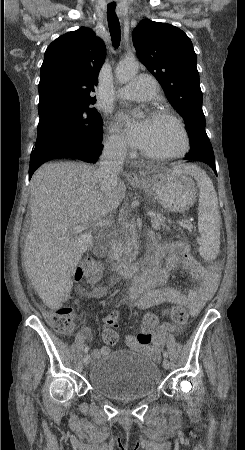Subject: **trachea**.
<instances>
[{"mask_svg":"<svg viewBox=\"0 0 245 450\" xmlns=\"http://www.w3.org/2000/svg\"><path fill=\"white\" fill-rule=\"evenodd\" d=\"M116 4L114 2L109 3L107 6V20H108V26L109 31L111 35V40L113 43V46L117 48L120 44L121 40V30L118 18L115 13Z\"/></svg>","mask_w":245,"mask_h":450,"instance_id":"obj_1","label":"trachea"}]
</instances>
